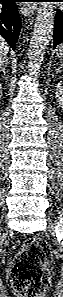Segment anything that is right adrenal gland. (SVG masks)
<instances>
[{"label":"right adrenal gland","mask_w":63,"mask_h":297,"mask_svg":"<svg viewBox=\"0 0 63 297\" xmlns=\"http://www.w3.org/2000/svg\"><path fill=\"white\" fill-rule=\"evenodd\" d=\"M0 75L2 77H5L6 76V65H1Z\"/></svg>","instance_id":"right-adrenal-gland-1"}]
</instances>
